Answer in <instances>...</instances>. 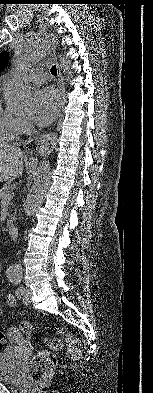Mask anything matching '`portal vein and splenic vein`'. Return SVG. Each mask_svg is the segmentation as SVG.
<instances>
[{"label":"portal vein and splenic vein","mask_w":153,"mask_h":393,"mask_svg":"<svg viewBox=\"0 0 153 393\" xmlns=\"http://www.w3.org/2000/svg\"><path fill=\"white\" fill-rule=\"evenodd\" d=\"M13 198V193H10L8 195H6V198L4 200L9 201Z\"/></svg>","instance_id":"18ae733b"}]
</instances>
